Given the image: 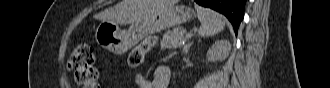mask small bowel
Returning a JSON list of instances; mask_svg holds the SVG:
<instances>
[{"mask_svg":"<svg viewBox=\"0 0 330 88\" xmlns=\"http://www.w3.org/2000/svg\"><path fill=\"white\" fill-rule=\"evenodd\" d=\"M170 69L167 66H157L153 72V78L147 80L143 75H136V83L140 88H167L170 80Z\"/></svg>","mask_w":330,"mask_h":88,"instance_id":"small-bowel-1","label":"small bowel"}]
</instances>
